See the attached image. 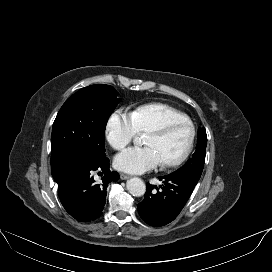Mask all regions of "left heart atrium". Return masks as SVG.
<instances>
[{
  "instance_id": "obj_1",
  "label": "left heart atrium",
  "mask_w": 272,
  "mask_h": 272,
  "mask_svg": "<svg viewBox=\"0 0 272 272\" xmlns=\"http://www.w3.org/2000/svg\"><path fill=\"white\" fill-rule=\"evenodd\" d=\"M162 160L151 146L130 147L115 157V167L121 171L140 174L155 168Z\"/></svg>"
}]
</instances>
